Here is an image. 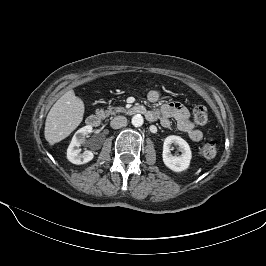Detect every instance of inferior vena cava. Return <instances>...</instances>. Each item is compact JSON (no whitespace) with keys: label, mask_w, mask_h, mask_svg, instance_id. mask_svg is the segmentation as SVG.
<instances>
[{"label":"inferior vena cava","mask_w":266,"mask_h":266,"mask_svg":"<svg viewBox=\"0 0 266 266\" xmlns=\"http://www.w3.org/2000/svg\"><path fill=\"white\" fill-rule=\"evenodd\" d=\"M127 124V118L124 116H116L111 120V127L113 129H119L124 127Z\"/></svg>","instance_id":"1"}]
</instances>
